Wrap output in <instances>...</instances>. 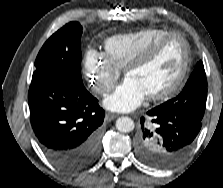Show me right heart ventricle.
I'll return each mask as SVG.
<instances>
[{
  "mask_svg": "<svg viewBox=\"0 0 223 188\" xmlns=\"http://www.w3.org/2000/svg\"><path fill=\"white\" fill-rule=\"evenodd\" d=\"M168 32L166 29L149 27L111 36L104 43L105 54L117 67L125 68L141 50Z\"/></svg>",
  "mask_w": 223,
  "mask_h": 188,
  "instance_id": "1",
  "label": "right heart ventricle"
}]
</instances>
